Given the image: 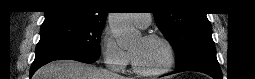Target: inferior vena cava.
<instances>
[{
    "mask_svg": "<svg viewBox=\"0 0 255 79\" xmlns=\"http://www.w3.org/2000/svg\"><path fill=\"white\" fill-rule=\"evenodd\" d=\"M110 70H111V72H114V68L113 67H111Z\"/></svg>",
    "mask_w": 255,
    "mask_h": 79,
    "instance_id": "obj_1",
    "label": "inferior vena cava"
}]
</instances>
